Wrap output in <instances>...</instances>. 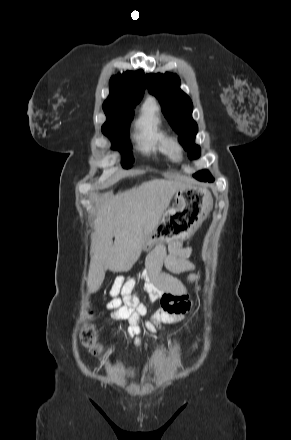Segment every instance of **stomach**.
<instances>
[{
  "mask_svg": "<svg viewBox=\"0 0 291 440\" xmlns=\"http://www.w3.org/2000/svg\"><path fill=\"white\" fill-rule=\"evenodd\" d=\"M175 208L168 209L144 248L150 249L162 241L191 236L204 221L213 207V198L208 189L186 185L174 193Z\"/></svg>",
  "mask_w": 291,
  "mask_h": 440,
  "instance_id": "stomach-1",
  "label": "stomach"
}]
</instances>
